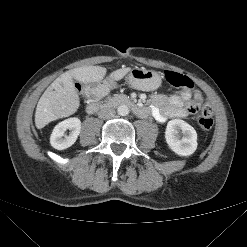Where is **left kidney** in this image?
<instances>
[{"label":"left kidney","instance_id":"obj_1","mask_svg":"<svg viewBox=\"0 0 247 247\" xmlns=\"http://www.w3.org/2000/svg\"><path fill=\"white\" fill-rule=\"evenodd\" d=\"M165 140L169 148L180 156H189L197 149V133L187 122L173 119L167 123Z\"/></svg>","mask_w":247,"mask_h":247}]
</instances>
